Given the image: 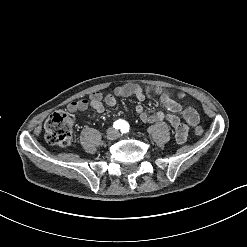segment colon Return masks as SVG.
<instances>
[{
  "instance_id": "5ec220e1",
  "label": "colon",
  "mask_w": 247,
  "mask_h": 247,
  "mask_svg": "<svg viewBox=\"0 0 247 247\" xmlns=\"http://www.w3.org/2000/svg\"><path fill=\"white\" fill-rule=\"evenodd\" d=\"M198 135L203 134V129L199 125L195 127ZM44 138L51 146L66 148L72 141V123L67 113L57 111L52 113L44 122Z\"/></svg>"
}]
</instances>
